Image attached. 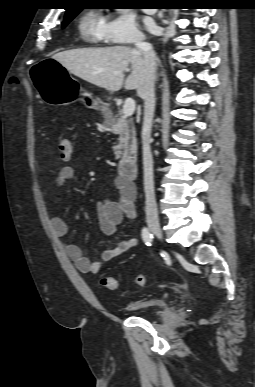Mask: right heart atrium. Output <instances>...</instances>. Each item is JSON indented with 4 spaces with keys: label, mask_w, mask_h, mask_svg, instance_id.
Instances as JSON below:
<instances>
[{
    "label": "right heart atrium",
    "mask_w": 255,
    "mask_h": 387,
    "mask_svg": "<svg viewBox=\"0 0 255 387\" xmlns=\"http://www.w3.org/2000/svg\"><path fill=\"white\" fill-rule=\"evenodd\" d=\"M143 39L135 18L125 10L118 11L104 25L103 40L108 44H135Z\"/></svg>",
    "instance_id": "1"
}]
</instances>
